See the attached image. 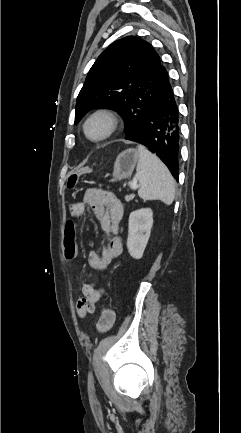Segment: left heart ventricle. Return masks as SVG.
Masks as SVG:
<instances>
[{
  "label": "left heart ventricle",
  "mask_w": 241,
  "mask_h": 433,
  "mask_svg": "<svg viewBox=\"0 0 241 433\" xmlns=\"http://www.w3.org/2000/svg\"><path fill=\"white\" fill-rule=\"evenodd\" d=\"M103 129V123L101 121H95L89 126L88 132L92 136H97L103 131Z\"/></svg>",
  "instance_id": "b2bd125f"
}]
</instances>
